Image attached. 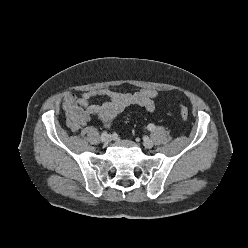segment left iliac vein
I'll use <instances>...</instances> for the list:
<instances>
[{"label": "left iliac vein", "mask_w": 248, "mask_h": 248, "mask_svg": "<svg viewBox=\"0 0 248 248\" xmlns=\"http://www.w3.org/2000/svg\"><path fill=\"white\" fill-rule=\"evenodd\" d=\"M143 144L147 149H151L154 145L153 141L149 139L148 137L143 138Z\"/></svg>", "instance_id": "4c4485c4"}]
</instances>
